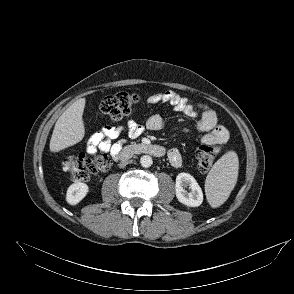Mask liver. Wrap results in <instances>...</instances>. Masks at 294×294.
<instances>
[{
  "label": "liver",
  "mask_w": 294,
  "mask_h": 294,
  "mask_svg": "<svg viewBox=\"0 0 294 294\" xmlns=\"http://www.w3.org/2000/svg\"><path fill=\"white\" fill-rule=\"evenodd\" d=\"M85 98L68 107L57 120L50 140V151L59 152L80 142L85 135L83 112Z\"/></svg>",
  "instance_id": "liver-1"
}]
</instances>
